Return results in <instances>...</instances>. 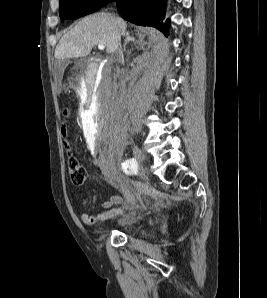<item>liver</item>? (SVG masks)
<instances>
[{
	"label": "liver",
	"mask_w": 267,
	"mask_h": 298,
	"mask_svg": "<svg viewBox=\"0 0 267 298\" xmlns=\"http://www.w3.org/2000/svg\"><path fill=\"white\" fill-rule=\"evenodd\" d=\"M127 24L110 13L99 12L84 17L63 35L55 49L58 60L86 57L95 45L103 44L108 54L120 46Z\"/></svg>",
	"instance_id": "6515ba94"
}]
</instances>
